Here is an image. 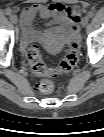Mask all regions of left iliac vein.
<instances>
[{
	"mask_svg": "<svg viewBox=\"0 0 104 137\" xmlns=\"http://www.w3.org/2000/svg\"><path fill=\"white\" fill-rule=\"evenodd\" d=\"M88 22H89V18H88L87 16H85V17L82 19L81 25H82L83 27H86L87 24H88Z\"/></svg>",
	"mask_w": 104,
	"mask_h": 137,
	"instance_id": "1",
	"label": "left iliac vein"
}]
</instances>
